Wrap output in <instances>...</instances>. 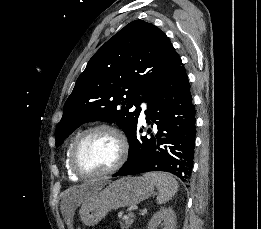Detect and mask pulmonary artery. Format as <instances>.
<instances>
[{"instance_id": "1", "label": "pulmonary artery", "mask_w": 261, "mask_h": 229, "mask_svg": "<svg viewBox=\"0 0 261 229\" xmlns=\"http://www.w3.org/2000/svg\"><path fill=\"white\" fill-rule=\"evenodd\" d=\"M147 105H150V100H141V113L139 115V123L144 124L146 121V115L149 114Z\"/></svg>"}]
</instances>
